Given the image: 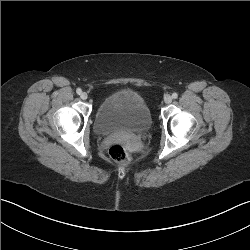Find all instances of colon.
I'll return each instance as SVG.
<instances>
[{"instance_id": "obj_1", "label": "colon", "mask_w": 250, "mask_h": 250, "mask_svg": "<svg viewBox=\"0 0 250 250\" xmlns=\"http://www.w3.org/2000/svg\"><path fill=\"white\" fill-rule=\"evenodd\" d=\"M110 157L121 164L127 165L131 162V156L125 146L121 143H114L109 147Z\"/></svg>"}]
</instances>
